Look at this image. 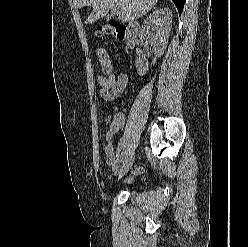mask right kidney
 Returning <instances> with one entry per match:
<instances>
[{"label":"right kidney","instance_id":"ca27d5eb","mask_svg":"<svg viewBox=\"0 0 248 247\" xmlns=\"http://www.w3.org/2000/svg\"><path fill=\"white\" fill-rule=\"evenodd\" d=\"M172 12L168 8H160L153 11L144 21L140 28L139 39L149 42L153 47L156 59L164 54L171 31ZM136 68L140 76L148 70V62L141 57L136 59Z\"/></svg>","mask_w":248,"mask_h":247}]
</instances>
